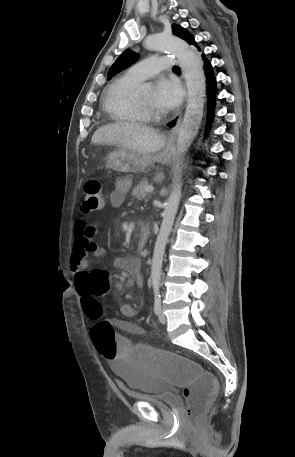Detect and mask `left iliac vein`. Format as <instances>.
<instances>
[{
	"label": "left iliac vein",
	"instance_id": "obj_1",
	"mask_svg": "<svg viewBox=\"0 0 295 457\" xmlns=\"http://www.w3.org/2000/svg\"><path fill=\"white\" fill-rule=\"evenodd\" d=\"M158 319L162 324H165L167 322L166 316L162 311L159 312Z\"/></svg>",
	"mask_w": 295,
	"mask_h": 457
}]
</instances>
